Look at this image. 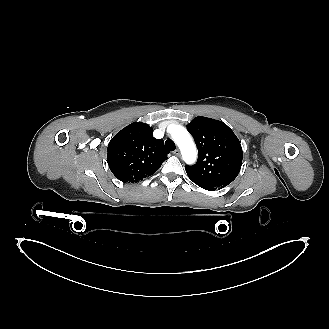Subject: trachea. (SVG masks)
<instances>
[{
	"label": "trachea",
	"instance_id": "3493384b",
	"mask_svg": "<svg viewBox=\"0 0 329 329\" xmlns=\"http://www.w3.org/2000/svg\"><path fill=\"white\" fill-rule=\"evenodd\" d=\"M165 146L170 151H174L176 149L175 143L171 139H167L165 141Z\"/></svg>",
	"mask_w": 329,
	"mask_h": 329
}]
</instances>
